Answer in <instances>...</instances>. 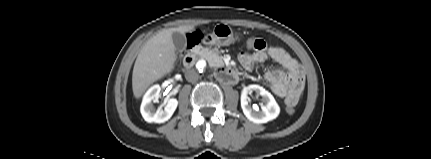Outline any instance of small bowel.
<instances>
[{
  "label": "small bowel",
  "mask_w": 431,
  "mask_h": 159,
  "mask_svg": "<svg viewBox=\"0 0 431 159\" xmlns=\"http://www.w3.org/2000/svg\"><path fill=\"white\" fill-rule=\"evenodd\" d=\"M255 44L253 52H242L238 56L240 64L246 69L251 70L256 64L263 63L268 57H271L281 69H271L265 74V79L269 84L271 91L278 97L285 98L288 107L295 108L302 102V91L304 87V78L300 66L285 49L268 45L261 38L252 37Z\"/></svg>",
  "instance_id": "small-bowel-1"
}]
</instances>
